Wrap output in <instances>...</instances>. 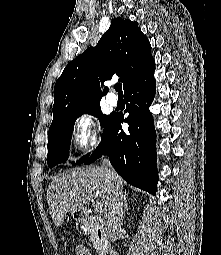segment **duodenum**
Returning a JSON list of instances; mask_svg holds the SVG:
<instances>
[{"label":"duodenum","mask_w":221,"mask_h":255,"mask_svg":"<svg viewBox=\"0 0 221 255\" xmlns=\"http://www.w3.org/2000/svg\"><path fill=\"white\" fill-rule=\"evenodd\" d=\"M79 218L81 220H85L87 218V216L82 214V215H80ZM97 234H98V238H99L100 242H102L103 241V231L101 228L97 229ZM104 255H116V253L111 250H106V251H104Z\"/></svg>","instance_id":"1"}]
</instances>
